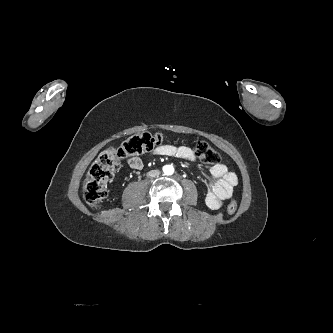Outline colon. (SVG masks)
I'll return each mask as SVG.
<instances>
[{"label":"colon","instance_id":"colon-1","mask_svg":"<svg viewBox=\"0 0 333 333\" xmlns=\"http://www.w3.org/2000/svg\"><path fill=\"white\" fill-rule=\"evenodd\" d=\"M163 138L158 133L141 132L129 136L118 147H109L104 150L90 167L84 183L83 195L85 201L92 207H98L107 194V182L126 158H132L159 146ZM194 154L203 163L217 164L220 162L219 154L206 142L198 141ZM237 210L236 201H231L227 212L234 214Z\"/></svg>","mask_w":333,"mask_h":333}]
</instances>
